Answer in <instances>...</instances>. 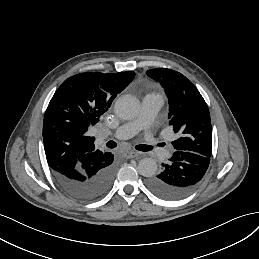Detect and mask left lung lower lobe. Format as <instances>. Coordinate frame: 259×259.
Returning <instances> with one entry per match:
<instances>
[{
	"instance_id": "0a47b994",
	"label": "left lung lower lobe",
	"mask_w": 259,
	"mask_h": 259,
	"mask_svg": "<svg viewBox=\"0 0 259 259\" xmlns=\"http://www.w3.org/2000/svg\"><path fill=\"white\" fill-rule=\"evenodd\" d=\"M210 157L189 151H176L163 171L147 180L148 189L156 196L177 200L191 193L206 173Z\"/></svg>"
}]
</instances>
